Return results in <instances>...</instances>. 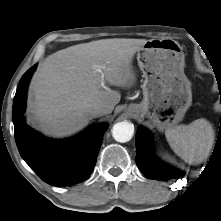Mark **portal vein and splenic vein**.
I'll return each instance as SVG.
<instances>
[{
	"label": "portal vein and splenic vein",
	"instance_id": "18ae733b",
	"mask_svg": "<svg viewBox=\"0 0 221 221\" xmlns=\"http://www.w3.org/2000/svg\"><path fill=\"white\" fill-rule=\"evenodd\" d=\"M98 71L101 72L100 69H98ZM101 85L104 86V80H103V78H102V80H101Z\"/></svg>",
	"mask_w": 221,
	"mask_h": 221
}]
</instances>
